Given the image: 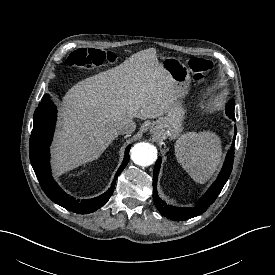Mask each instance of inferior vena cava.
<instances>
[{
    "label": "inferior vena cava",
    "instance_id": "602c4592",
    "mask_svg": "<svg viewBox=\"0 0 275 275\" xmlns=\"http://www.w3.org/2000/svg\"><path fill=\"white\" fill-rule=\"evenodd\" d=\"M136 128L133 120L123 119L116 124V129L120 134H130L134 132Z\"/></svg>",
    "mask_w": 275,
    "mask_h": 275
}]
</instances>
